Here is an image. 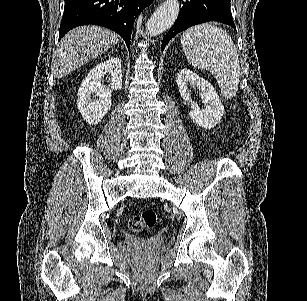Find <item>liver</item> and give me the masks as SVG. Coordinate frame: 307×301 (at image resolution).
I'll return each mask as SVG.
<instances>
[{
    "instance_id": "6515ba94",
    "label": "liver",
    "mask_w": 307,
    "mask_h": 301,
    "mask_svg": "<svg viewBox=\"0 0 307 301\" xmlns=\"http://www.w3.org/2000/svg\"><path fill=\"white\" fill-rule=\"evenodd\" d=\"M117 42L119 34L102 26L87 24L73 28L63 36L60 46L54 52L52 64L56 78L67 76L69 72L97 58Z\"/></svg>"
}]
</instances>
